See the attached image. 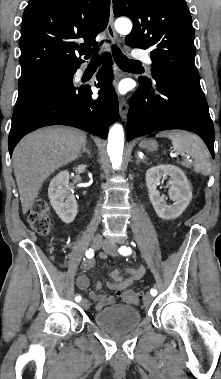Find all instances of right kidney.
Instances as JSON below:
<instances>
[{
	"label": "right kidney",
	"mask_w": 221,
	"mask_h": 379,
	"mask_svg": "<svg viewBox=\"0 0 221 379\" xmlns=\"http://www.w3.org/2000/svg\"><path fill=\"white\" fill-rule=\"evenodd\" d=\"M85 165H79L75 172L83 173ZM50 203L59 218L66 224L74 221L77 215L78 205L73 193L70 192L69 172H59L50 182L48 188Z\"/></svg>",
	"instance_id": "1"
}]
</instances>
